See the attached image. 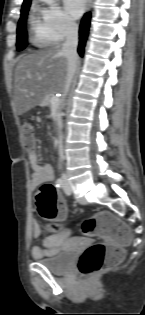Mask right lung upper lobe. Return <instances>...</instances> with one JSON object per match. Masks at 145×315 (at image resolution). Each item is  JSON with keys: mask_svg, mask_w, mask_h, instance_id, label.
<instances>
[{"mask_svg": "<svg viewBox=\"0 0 145 315\" xmlns=\"http://www.w3.org/2000/svg\"><path fill=\"white\" fill-rule=\"evenodd\" d=\"M31 0H24L22 7L30 5Z\"/></svg>", "mask_w": 145, "mask_h": 315, "instance_id": "right-lung-upper-lobe-1", "label": "right lung upper lobe"}]
</instances>
